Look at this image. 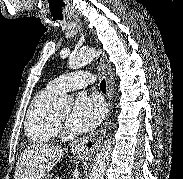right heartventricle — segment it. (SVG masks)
Returning <instances> with one entry per match:
<instances>
[{"mask_svg": "<svg viewBox=\"0 0 183 179\" xmlns=\"http://www.w3.org/2000/svg\"><path fill=\"white\" fill-rule=\"evenodd\" d=\"M58 93L47 87L39 91L28 109L25 132L34 142L51 141L58 131L52 102Z\"/></svg>", "mask_w": 183, "mask_h": 179, "instance_id": "right-heart-ventricle-1", "label": "right heart ventricle"}]
</instances>
